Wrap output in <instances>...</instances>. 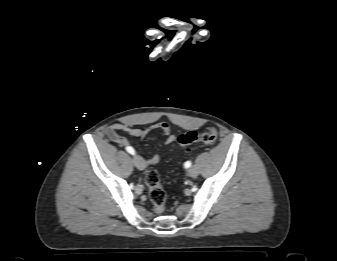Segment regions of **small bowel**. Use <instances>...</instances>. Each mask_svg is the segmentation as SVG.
<instances>
[{"label": "small bowel", "instance_id": "c3829d8e", "mask_svg": "<svg viewBox=\"0 0 337 261\" xmlns=\"http://www.w3.org/2000/svg\"><path fill=\"white\" fill-rule=\"evenodd\" d=\"M155 130L161 131L166 136L164 140L165 145H168L175 140V135L171 133V129L167 123H159L147 128H137L126 124L116 123L108 126L104 130V132L112 142L121 147H125L126 149L127 147L131 146H129L128 140L123 135H121V132H126L135 138H144L149 133ZM142 159L144 160L145 166L150 164H156L160 159V155L158 152H156L149 158Z\"/></svg>", "mask_w": 337, "mask_h": 261}]
</instances>
